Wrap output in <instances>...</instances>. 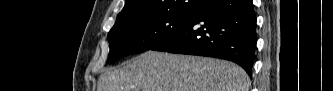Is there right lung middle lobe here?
<instances>
[{
  "instance_id": "1",
  "label": "right lung middle lobe",
  "mask_w": 333,
  "mask_h": 91,
  "mask_svg": "<svg viewBox=\"0 0 333 91\" xmlns=\"http://www.w3.org/2000/svg\"><path fill=\"white\" fill-rule=\"evenodd\" d=\"M211 1L204 0L200 6L205 7ZM196 14L161 13L114 25L108 33L109 61L151 50L183 28Z\"/></svg>"
}]
</instances>
